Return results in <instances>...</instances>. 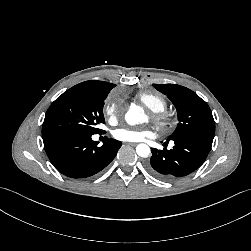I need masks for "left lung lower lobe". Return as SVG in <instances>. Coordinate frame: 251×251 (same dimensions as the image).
<instances>
[{
	"instance_id": "0a47b994",
	"label": "left lung lower lobe",
	"mask_w": 251,
	"mask_h": 251,
	"mask_svg": "<svg viewBox=\"0 0 251 251\" xmlns=\"http://www.w3.org/2000/svg\"><path fill=\"white\" fill-rule=\"evenodd\" d=\"M172 141L175 145L170 150L152 148L146 165L149 173L160 180L174 181L195 171L207 158L213 138L184 136Z\"/></svg>"
}]
</instances>
